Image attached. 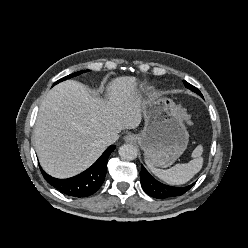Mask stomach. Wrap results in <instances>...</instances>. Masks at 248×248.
Masks as SVG:
<instances>
[{
    "mask_svg": "<svg viewBox=\"0 0 248 248\" xmlns=\"http://www.w3.org/2000/svg\"><path fill=\"white\" fill-rule=\"evenodd\" d=\"M141 108L145 126L137 142L145 159L154 167H169L183 154L189 141L182 108L157 94H147Z\"/></svg>",
    "mask_w": 248,
    "mask_h": 248,
    "instance_id": "stomach-1",
    "label": "stomach"
}]
</instances>
